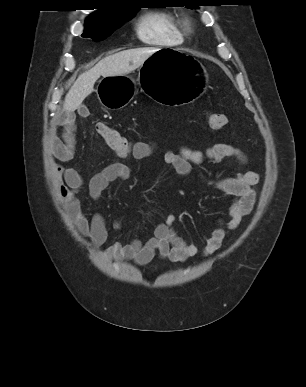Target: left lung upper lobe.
I'll list each match as a JSON object with an SVG mask.
<instances>
[{"label":"left lung upper lobe","instance_id":"obj_1","mask_svg":"<svg viewBox=\"0 0 306 387\" xmlns=\"http://www.w3.org/2000/svg\"><path fill=\"white\" fill-rule=\"evenodd\" d=\"M187 7H191V8H192L193 6H187ZM195 7H196V6H195Z\"/></svg>","mask_w":306,"mask_h":387}]
</instances>
